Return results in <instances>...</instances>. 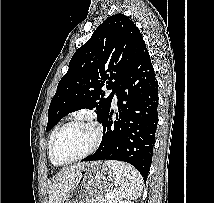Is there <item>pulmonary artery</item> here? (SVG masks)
I'll return each instance as SVG.
<instances>
[{
    "label": "pulmonary artery",
    "mask_w": 214,
    "mask_h": 203,
    "mask_svg": "<svg viewBox=\"0 0 214 203\" xmlns=\"http://www.w3.org/2000/svg\"><path fill=\"white\" fill-rule=\"evenodd\" d=\"M113 101H114V103H116V102H117V94H116V93H114Z\"/></svg>",
    "instance_id": "1"
}]
</instances>
